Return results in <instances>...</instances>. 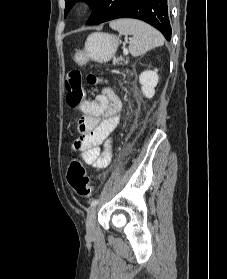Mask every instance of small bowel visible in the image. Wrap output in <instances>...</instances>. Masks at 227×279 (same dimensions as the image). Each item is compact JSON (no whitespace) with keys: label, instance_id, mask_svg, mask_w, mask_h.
<instances>
[{"label":"small bowel","instance_id":"1","mask_svg":"<svg viewBox=\"0 0 227 279\" xmlns=\"http://www.w3.org/2000/svg\"><path fill=\"white\" fill-rule=\"evenodd\" d=\"M80 110L75 146L84 151L82 160L96 168L106 167L111 160V140L108 138L117 127L122 110V101L110 87L103 89L94 100H85ZM104 145L103 153L100 146Z\"/></svg>","mask_w":227,"mask_h":279}]
</instances>
